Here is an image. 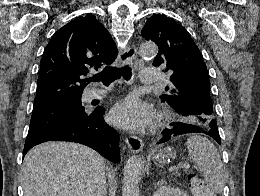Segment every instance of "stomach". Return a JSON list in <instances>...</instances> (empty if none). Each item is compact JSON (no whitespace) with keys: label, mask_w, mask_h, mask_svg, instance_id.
<instances>
[{"label":"stomach","mask_w":260,"mask_h":196,"mask_svg":"<svg viewBox=\"0 0 260 196\" xmlns=\"http://www.w3.org/2000/svg\"><path fill=\"white\" fill-rule=\"evenodd\" d=\"M175 158V148H170V146H167V148H162V150H159V152L155 154L154 162H156L158 166H161V164H169V162H172V160H175Z\"/></svg>","instance_id":"0dacf381"}]
</instances>
